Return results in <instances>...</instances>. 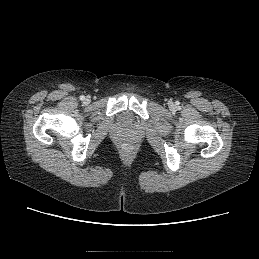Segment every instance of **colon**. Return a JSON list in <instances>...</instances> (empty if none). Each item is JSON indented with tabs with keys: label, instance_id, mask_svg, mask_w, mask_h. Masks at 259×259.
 <instances>
[{
	"label": "colon",
	"instance_id": "obj_1",
	"mask_svg": "<svg viewBox=\"0 0 259 259\" xmlns=\"http://www.w3.org/2000/svg\"><path fill=\"white\" fill-rule=\"evenodd\" d=\"M124 151L127 152V153L131 152L132 151V147L130 145L126 144L124 146Z\"/></svg>",
	"mask_w": 259,
	"mask_h": 259
}]
</instances>
